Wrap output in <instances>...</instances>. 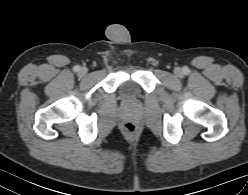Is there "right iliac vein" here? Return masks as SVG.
<instances>
[{
  "mask_svg": "<svg viewBox=\"0 0 248 195\" xmlns=\"http://www.w3.org/2000/svg\"><path fill=\"white\" fill-rule=\"evenodd\" d=\"M80 73H81V75H86L87 74V69L86 68H81Z\"/></svg>",
  "mask_w": 248,
  "mask_h": 195,
  "instance_id": "1",
  "label": "right iliac vein"
}]
</instances>
